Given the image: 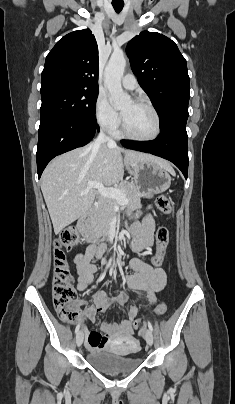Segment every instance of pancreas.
Returning <instances> with one entry per match:
<instances>
[{
	"mask_svg": "<svg viewBox=\"0 0 235 404\" xmlns=\"http://www.w3.org/2000/svg\"><path fill=\"white\" fill-rule=\"evenodd\" d=\"M128 198L127 207L137 208L140 206V192L138 186L134 182H123L118 186ZM119 202L116 199L106 198L102 200L95 211L92 227L97 235H106L109 225L116 216V209Z\"/></svg>",
	"mask_w": 235,
	"mask_h": 404,
	"instance_id": "pancreas-1",
	"label": "pancreas"
}]
</instances>
